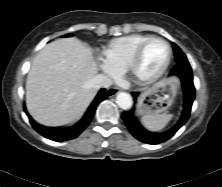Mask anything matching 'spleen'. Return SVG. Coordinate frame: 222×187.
I'll return each instance as SVG.
<instances>
[{
	"mask_svg": "<svg viewBox=\"0 0 222 187\" xmlns=\"http://www.w3.org/2000/svg\"><path fill=\"white\" fill-rule=\"evenodd\" d=\"M172 118V114H147L142 117V122L148 130L159 132L167 126Z\"/></svg>",
	"mask_w": 222,
	"mask_h": 187,
	"instance_id": "obj_1",
	"label": "spleen"
}]
</instances>
